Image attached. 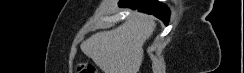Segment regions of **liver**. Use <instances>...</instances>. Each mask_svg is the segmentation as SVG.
Listing matches in <instances>:
<instances>
[{
  "label": "liver",
  "mask_w": 244,
  "mask_h": 73,
  "mask_svg": "<svg viewBox=\"0 0 244 73\" xmlns=\"http://www.w3.org/2000/svg\"><path fill=\"white\" fill-rule=\"evenodd\" d=\"M155 20L153 16L133 12L117 28L89 37L81 44V50L104 73H138L143 45L156 28Z\"/></svg>",
  "instance_id": "1"
}]
</instances>
